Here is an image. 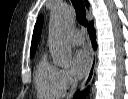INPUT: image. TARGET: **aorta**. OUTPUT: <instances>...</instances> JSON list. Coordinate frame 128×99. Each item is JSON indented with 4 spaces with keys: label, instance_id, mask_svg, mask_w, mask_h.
Wrapping results in <instances>:
<instances>
[{
    "label": "aorta",
    "instance_id": "1",
    "mask_svg": "<svg viewBox=\"0 0 128 99\" xmlns=\"http://www.w3.org/2000/svg\"><path fill=\"white\" fill-rule=\"evenodd\" d=\"M73 20V12L68 6L55 7L49 24V45L54 64L68 66L72 60V50L65 37V30Z\"/></svg>",
    "mask_w": 128,
    "mask_h": 99
}]
</instances>
